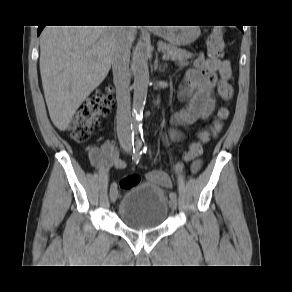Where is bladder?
<instances>
[{"label":"bladder","instance_id":"obj_1","mask_svg":"<svg viewBox=\"0 0 292 292\" xmlns=\"http://www.w3.org/2000/svg\"><path fill=\"white\" fill-rule=\"evenodd\" d=\"M168 210L164 191L154 183H144L126 189L119 203L118 215L128 228L145 231L160 227Z\"/></svg>","mask_w":292,"mask_h":292}]
</instances>
